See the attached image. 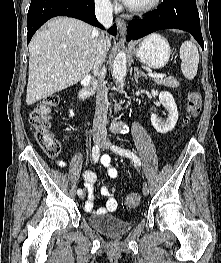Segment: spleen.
<instances>
[{
  "mask_svg": "<svg viewBox=\"0 0 221 263\" xmlns=\"http://www.w3.org/2000/svg\"><path fill=\"white\" fill-rule=\"evenodd\" d=\"M181 70L185 78L193 79L197 75L199 52L191 41H185L180 47Z\"/></svg>",
  "mask_w": 221,
  "mask_h": 263,
  "instance_id": "3e777b00",
  "label": "spleen"
}]
</instances>
